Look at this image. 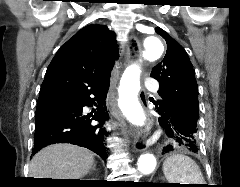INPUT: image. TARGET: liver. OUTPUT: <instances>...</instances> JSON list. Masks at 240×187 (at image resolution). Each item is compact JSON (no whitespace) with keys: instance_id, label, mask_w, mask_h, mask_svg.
<instances>
[{"instance_id":"liver-1","label":"liver","mask_w":240,"mask_h":187,"mask_svg":"<svg viewBox=\"0 0 240 187\" xmlns=\"http://www.w3.org/2000/svg\"><path fill=\"white\" fill-rule=\"evenodd\" d=\"M94 164L93 153L72 144H53L43 148L31 160L30 178L79 179Z\"/></svg>"}]
</instances>
